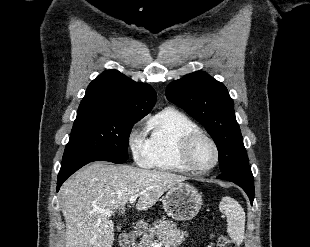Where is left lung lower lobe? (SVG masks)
Wrapping results in <instances>:
<instances>
[{"instance_id":"left-lung-lower-lobe-1","label":"left lung lower lobe","mask_w":310,"mask_h":247,"mask_svg":"<svg viewBox=\"0 0 310 247\" xmlns=\"http://www.w3.org/2000/svg\"><path fill=\"white\" fill-rule=\"evenodd\" d=\"M217 178L227 180L239 185L248 195L251 205L254 200V179L250 167L242 170L222 173Z\"/></svg>"}]
</instances>
